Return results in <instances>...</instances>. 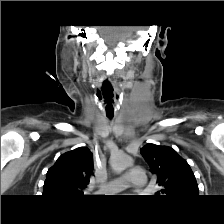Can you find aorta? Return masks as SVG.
I'll use <instances>...</instances> for the list:
<instances>
[{
  "label": "aorta",
  "instance_id": "aorta-1",
  "mask_svg": "<svg viewBox=\"0 0 224 224\" xmlns=\"http://www.w3.org/2000/svg\"><path fill=\"white\" fill-rule=\"evenodd\" d=\"M110 165L115 173H121L126 168L131 167L133 165V159L132 157L126 154H116L111 157Z\"/></svg>",
  "mask_w": 224,
  "mask_h": 224
}]
</instances>
